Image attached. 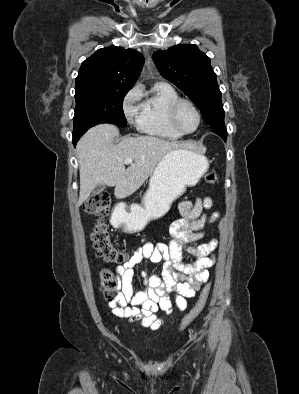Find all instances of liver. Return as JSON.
Masks as SVG:
<instances>
[{
    "label": "liver",
    "mask_w": 299,
    "mask_h": 394,
    "mask_svg": "<svg viewBox=\"0 0 299 394\" xmlns=\"http://www.w3.org/2000/svg\"><path fill=\"white\" fill-rule=\"evenodd\" d=\"M118 135L115 125L100 124L89 129L78 142V205L88 199L97 185L115 186L118 199L133 194L168 152L184 146L154 136L126 137L115 145L113 141ZM127 158H132L134 163L126 169L124 160Z\"/></svg>",
    "instance_id": "obj_1"
}]
</instances>
